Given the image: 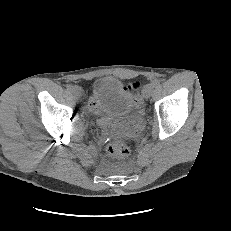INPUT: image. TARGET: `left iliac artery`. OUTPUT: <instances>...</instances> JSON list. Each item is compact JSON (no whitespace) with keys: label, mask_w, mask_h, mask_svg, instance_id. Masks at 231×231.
Wrapping results in <instances>:
<instances>
[{"label":"left iliac artery","mask_w":231,"mask_h":231,"mask_svg":"<svg viewBox=\"0 0 231 231\" xmlns=\"http://www.w3.org/2000/svg\"><path fill=\"white\" fill-rule=\"evenodd\" d=\"M151 84L153 87H158L160 85V80H154Z\"/></svg>","instance_id":"44dca946"}]
</instances>
